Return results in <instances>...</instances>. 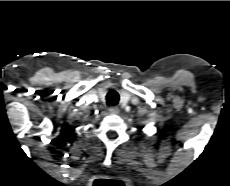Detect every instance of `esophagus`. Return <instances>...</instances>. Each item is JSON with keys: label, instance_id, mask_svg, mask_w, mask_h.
<instances>
[{"label": "esophagus", "instance_id": "1", "mask_svg": "<svg viewBox=\"0 0 230 186\" xmlns=\"http://www.w3.org/2000/svg\"><path fill=\"white\" fill-rule=\"evenodd\" d=\"M109 111L113 115H118L120 112V109L117 106H112L109 108Z\"/></svg>", "mask_w": 230, "mask_h": 186}]
</instances>
